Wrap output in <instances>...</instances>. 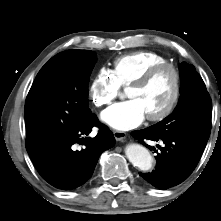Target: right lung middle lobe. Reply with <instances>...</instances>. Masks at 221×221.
I'll return each mask as SVG.
<instances>
[{
  "instance_id": "dd1d6c3e",
  "label": "right lung middle lobe",
  "mask_w": 221,
  "mask_h": 221,
  "mask_svg": "<svg viewBox=\"0 0 221 221\" xmlns=\"http://www.w3.org/2000/svg\"><path fill=\"white\" fill-rule=\"evenodd\" d=\"M95 52L68 50L50 59L37 74L25 103L27 140L68 137L92 114L88 82Z\"/></svg>"
}]
</instances>
